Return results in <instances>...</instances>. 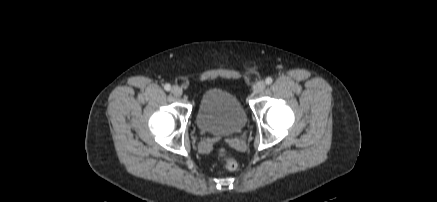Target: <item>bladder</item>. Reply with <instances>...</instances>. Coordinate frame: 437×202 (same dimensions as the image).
Wrapping results in <instances>:
<instances>
[{
  "label": "bladder",
  "mask_w": 437,
  "mask_h": 202,
  "mask_svg": "<svg viewBox=\"0 0 437 202\" xmlns=\"http://www.w3.org/2000/svg\"><path fill=\"white\" fill-rule=\"evenodd\" d=\"M195 122L204 133L230 136L245 127L247 115L239 100L229 91L221 88L207 90L201 97Z\"/></svg>",
  "instance_id": "obj_1"
}]
</instances>
